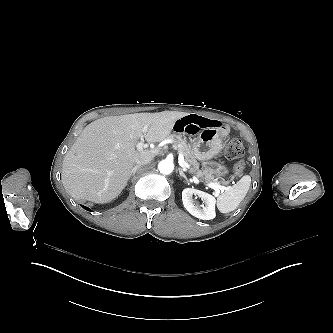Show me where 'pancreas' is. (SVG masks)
<instances>
[{"instance_id":"1","label":"pancreas","mask_w":333,"mask_h":333,"mask_svg":"<svg viewBox=\"0 0 333 333\" xmlns=\"http://www.w3.org/2000/svg\"><path fill=\"white\" fill-rule=\"evenodd\" d=\"M167 138L173 140V144L177 147L178 153H182L185 161L190 165V172L193 173L200 181L205 182L206 184L210 182H217L215 176L221 175V173L209 167L199 169V163L192 154L187 141L182 138V135L171 134L168 135ZM220 183L224 185L226 184L225 181H221Z\"/></svg>"}]
</instances>
